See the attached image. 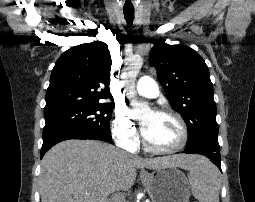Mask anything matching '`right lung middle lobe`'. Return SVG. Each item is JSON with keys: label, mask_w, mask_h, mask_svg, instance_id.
<instances>
[{"label": "right lung middle lobe", "mask_w": 255, "mask_h": 202, "mask_svg": "<svg viewBox=\"0 0 255 202\" xmlns=\"http://www.w3.org/2000/svg\"><path fill=\"white\" fill-rule=\"evenodd\" d=\"M112 110V104L96 102L49 112L44 114V131L73 127L87 131L103 141H109Z\"/></svg>", "instance_id": "right-lung-middle-lobe-1"}]
</instances>
